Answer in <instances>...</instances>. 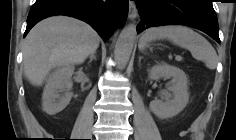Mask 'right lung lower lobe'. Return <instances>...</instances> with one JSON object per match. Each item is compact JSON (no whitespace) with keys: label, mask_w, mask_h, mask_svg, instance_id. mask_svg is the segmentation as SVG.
I'll use <instances>...</instances> for the list:
<instances>
[{"label":"right lung lower lobe","mask_w":236,"mask_h":140,"mask_svg":"<svg viewBox=\"0 0 236 140\" xmlns=\"http://www.w3.org/2000/svg\"><path fill=\"white\" fill-rule=\"evenodd\" d=\"M128 0H36L28 18L24 37L40 20L67 15L89 23L107 40L116 27L125 24Z\"/></svg>","instance_id":"obj_1"}]
</instances>
